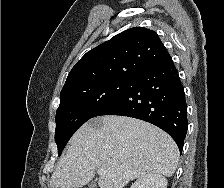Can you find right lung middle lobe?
<instances>
[{
	"instance_id": "right-lung-middle-lobe-1",
	"label": "right lung middle lobe",
	"mask_w": 224,
	"mask_h": 188,
	"mask_svg": "<svg viewBox=\"0 0 224 188\" xmlns=\"http://www.w3.org/2000/svg\"><path fill=\"white\" fill-rule=\"evenodd\" d=\"M132 79H108L63 89L56 112L55 142L58 155L75 131L89 119L100 116L130 88Z\"/></svg>"
}]
</instances>
